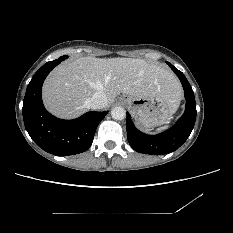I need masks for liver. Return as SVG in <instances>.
Wrapping results in <instances>:
<instances>
[{
    "label": "liver",
    "mask_w": 233,
    "mask_h": 233,
    "mask_svg": "<svg viewBox=\"0 0 233 233\" xmlns=\"http://www.w3.org/2000/svg\"><path fill=\"white\" fill-rule=\"evenodd\" d=\"M95 92H103L108 104L120 94L161 96L179 106L182 88L167 68L134 58L81 57L57 66L43 85V102L53 115L72 119L85 113Z\"/></svg>",
    "instance_id": "1"
}]
</instances>
